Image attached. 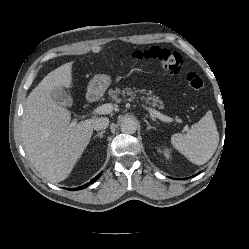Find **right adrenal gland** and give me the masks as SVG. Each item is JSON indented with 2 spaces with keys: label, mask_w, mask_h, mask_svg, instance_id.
Listing matches in <instances>:
<instances>
[{
  "label": "right adrenal gland",
  "mask_w": 249,
  "mask_h": 249,
  "mask_svg": "<svg viewBox=\"0 0 249 249\" xmlns=\"http://www.w3.org/2000/svg\"><path fill=\"white\" fill-rule=\"evenodd\" d=\"M105 132H106L105 130H102L101 132H99L98 134H96V135L94 136V138H96V137L102 138V137H103V134H104Z\"/></svg>",
  "instance_id": "obj_1"
}]
</instances>
